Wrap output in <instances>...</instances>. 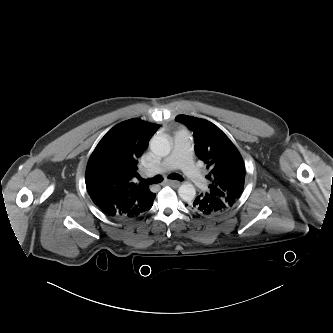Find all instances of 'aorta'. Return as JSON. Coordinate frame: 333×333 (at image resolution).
Instances as JSON below:
<instances>
[{
    "mask_svg": "<svg viewBox=\"0 0 333 333\" xmlns=\"http://www.w3.org/2000/svg\"><path fill=\"white\" fill-rule=\"evenodd\" d=\"M151 151L158 156H167L171 151L170 141L165 134H156L150 140ZM179 196L186 202H191L196 195L195 187L191 183H183L178 189Z\"/></svg>",
    "mask_w": 333,
    "mask_h": 333,
    "instance_id": "obj_1",
    "label": "aorta"
}]
</instances>
